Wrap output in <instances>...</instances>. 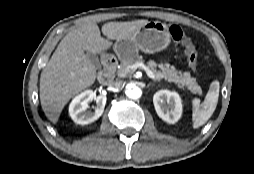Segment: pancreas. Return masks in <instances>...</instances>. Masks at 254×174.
<instances>
[{
    "label": "pancreas",
    "mask_w": 254,
    "mask_h": 174,
    "mask_svg": "<svg viewBox=\"0 0 254 174\" xmlns=\"http://www.w3.org/2000/svg\"><path fill=\"white\" fill-rule=\"evenodd\" d=\"M137 62L143 63V56L138 55L135 58L122 60L117 69L118 77L124 78L131 76L134 71L128 69V67ZM158 68L160 70H153L157 80L173 82L180 88H186L190 90L193 94L202 93L201 87L198 85L196 79L193 78L189 72H178L175 67L171 66L169 63H159Z\"/></svg>",
    "instance_id": "1"
}]
</instances>
